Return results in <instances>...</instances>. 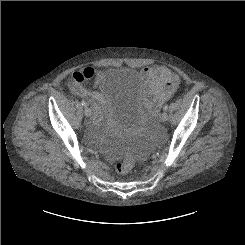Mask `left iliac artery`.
Wrapping results in <instances>:
<instances>
[{"mask_svg":"<svg viewBox=\"0 0 245 245\" xmlns=\"http://www.w3.org/2000/svg\"><path fill=\"white\" fill-rule=\"evenodd\" d=\"M163 109L166 111L168 109V105H165Z\"/></svg>","mask_w":245,"mask_h":245,"instance_id":"1","label":"left iliac artery"}]
</instances>
